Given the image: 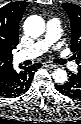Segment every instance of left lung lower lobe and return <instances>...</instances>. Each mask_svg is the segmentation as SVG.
<instances>
[{
    "label": "left lung lower lobe",
    "mask_w": 81,
    "mask_h": 124,
    "mask_svg": "<svg viewBox=\"0 0 81 124\" xmlns=\"http://www.w3.org/2000/svg\"><path fill=\"white\" fill-rule=\"evenodd\" d=\"M55 88L62 95L69 98H81V70L76 74L70 73L68 82L64 84H55Z\"/></svg>",
    "instance_id": "0a47b994"
}]
</instances>
